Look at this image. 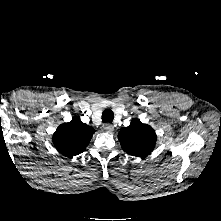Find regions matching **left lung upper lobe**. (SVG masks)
<instances>
[{"label": "left lung upper lobe", "instance_id": "5c2ea615", "mask_svg": "<svg viewBox=\"0 0 221 221\" xmlns=\"http://www.w3.org/2000/svg\"><path fill=\"white\" fill-rule=\"evenodd\" d=\"M118 138L123 150L137 157L150 154L156 143V133L153 128L138 119H133L128 127L122 128Z\"/></svg>", "mask_w": 221, "mask_h": 221}]
</instances>
